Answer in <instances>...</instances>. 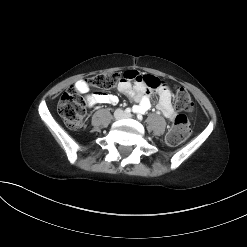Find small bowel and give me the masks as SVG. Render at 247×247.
<instances>
[{
  "instance_id": "obj_1",
  "label": "small bowel",
  "mask_w": 247,
  "mask_h": 247,
  "mask_svg": "<svg viewBox=\"0 0 247 247\" xmlns=\"http://www.w3.org/2000/svg\"><path fill=\"white\" fill-rule=\"evenodd\" d=\"M150 80L157 82L156 86H151ZM74 89L85 96V102L89 107L97 104H115L118 97L108 93H92L85 80H78ZM117 90L128 96L136 104L133 107L136 113H145L151 106V95H158L157 108L169 120L176 116L172 106V92L170 88L152 75H141L135 70L125 71L121 75V80L117 84Z\"/></svg>"
}]
</instances>
